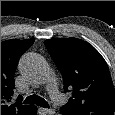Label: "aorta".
Segmentation results:
<instances>
[{
    "instance_id": "obj_1",
    "label": "aorta",
    "mask_w": 115,
    "mask_h": 115,
    "mask_svg": "<svg viewBox=\"0 0 115 115\" xmlns=\"http://www.w3.org/2000/svg\"><path fill=\"white\" fill-rule=\"evenodd\" d=\"M22 66L26 75L35 82H41L43 75L47 71V64L45 60L36 53H28L22 60ZM53 111H49V114H53Z\"/></svg>"
}]
</instances>
